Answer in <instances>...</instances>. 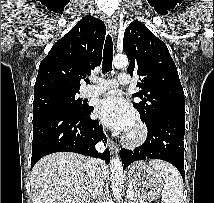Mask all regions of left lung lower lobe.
Segmentation results:
<instances>
[{"mask_svg": "<svg viewBox=\"0 0 214 203\" xmlns=\"http://www.w3.org/2000/svg\"><path fill=\"white\" fill-rule=\"evenodd\" d=\"M145 124L148 135L144 144L134 150L121 149L123 168L137 160L160 159L173 164L184 179L185 114L164 113Z\"/></svg>", "mask_w": 214, "mask_h": 203, "instance_id": "left-lung-lower-lobe-1", "label": "left lung lower lobe"}]
</instances>
